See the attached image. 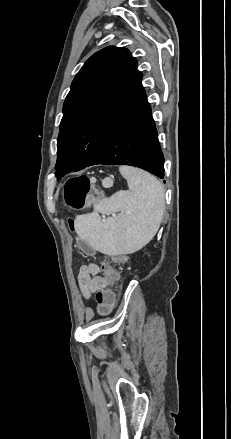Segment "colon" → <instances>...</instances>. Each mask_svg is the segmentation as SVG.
I'll return each mask as SVG.
<instances>
[{"mask_svg": "<svg viewBox=\"0 0 231 439\" xmlns=\"http://www.w3.org/2000/svg\"><path fill=\"white\" fill-rule=\"evenodd\" d=\"M92 189L90 179L85 175L70 178L64 186V200L66 205L71 209H81L85 206L89 197H92ZM72 231L76 230L73 219L69 221ZM78 243L81 250L87 254L89 259H96L98 252L94 250L89 243L78 238ZM127 259L126 255L120 254L116 256L115 260L118 263H123ZM101 270L104 273V279L109 282L111 287H100L99 293H96L95 300L97 302L96 315L101 316L102 319L112 316V311L115 309L117 295L112 291L114 285L118 282L117 273L115 269L107 262L101 264Z\"/></svg>", "mask_w": 231, "mask_h": 439, "instance_id": "obj_1", "label": "colon"}]
</instances>
